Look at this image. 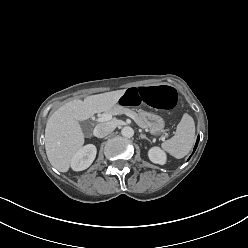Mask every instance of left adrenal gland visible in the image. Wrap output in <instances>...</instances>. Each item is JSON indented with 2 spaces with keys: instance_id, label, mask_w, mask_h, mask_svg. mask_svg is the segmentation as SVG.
Returning a JSON list of instances; mask_svg holds the SVG:
<instances>
[{
  "instance_id": "1",
  "label": "left adrenal gland",
  "mask_w": 248,
  "mask_h": 248,
  "mask_svg": "<svg viewBox=\"0 0 248 248\" xmlns=\"http://www.w3.org/2000/svg\"><path fill=\"white\" fill-rule=\"evenodd\" d=\"M139 132L141 133V131H139ZM140 138H141V139H146V140L150 141V139L147 138L146 135H144V134H142V133L140 134Z\"/></svg>"
}]
</instances>
